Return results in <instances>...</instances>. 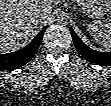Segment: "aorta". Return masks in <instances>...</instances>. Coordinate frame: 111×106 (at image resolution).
<instances>
[{
    "label": "aorta",
    "instance_id": "obj_1",
    "mask_svg": "<svg viewBox=\"0 0 111 106\" xmlns=\"http://www.w3.org/2000/svg\"><path fill=\"white\" fill-rule=\"evenodd\" d=\"M58 21L61 22V23H63V24L66 23V19H65V17H63V16L59 17V18H58Z\"/></svg>",
    "mask_w": 111,
    "mask_h": 106
}]
</instances>
